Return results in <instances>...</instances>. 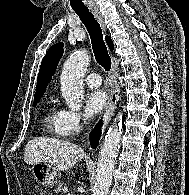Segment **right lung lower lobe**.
<instances>
[{
    "label": "right lung lower lobe",
    "instance_id": "right-lung-lower-lobe-1",
    "mask_svg": "<svg viewBox=\"0 0 189 195\" xmlns=\"http://www.w3.org/2000/svg\"><path fill=\"white\" fill-rule=\"evenodd\" d=\"M100 123L95 127V129L90 133V144L92 146V148H96L98 143H99V139L101 136V129H100Z\"/></svg>",
    "mask_w": 189,
    "mask_h": 195
}]
</instances>
